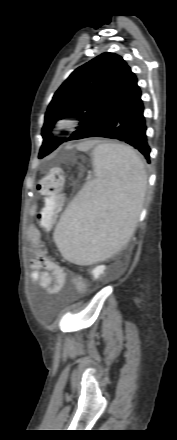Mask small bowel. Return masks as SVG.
Segmentation results:
<instances>
[{
	"label": "small bowel",
	"mask_w": 177,
	"mask_h": 440,
	"mask_svg": "<svg viewBox=\"0 0 177 440\" xmlns=\"http://www.w3.org/2000/svg\"><path fill=\"white\" fill-rule=\"evenodd\" d=\"M37 210L38 205L35 204L31 208V214L35 215ZM29 235L33 242V256L29 259L31 281L44 289L47 293L56 294L61 291L66 284L65 270L47 255L46 250L40 243L37 228L32 227L29 231ZM74 288L77 293L83 294L86 292L87 286L84 281L77 278Z\"/></svg>",
	"instance_id": "c3829d8e"
}]
</instances>
